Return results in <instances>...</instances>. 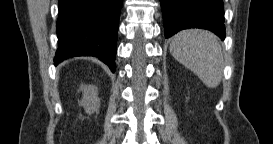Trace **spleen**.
Segmentation results:
<instances>
[{
	"instance_id": "3e777b00",
	"label": "spleen",
	"mask_w": 273,
	"mask_h": 144,
	"mask_svg": "<svg viewBox=\"0 0 273 144\" xmlns=\"http://www.w3.org/2000/svg\"><path fill=\"white\" fill-rule=\"evenodd\" d=\"M170 52L208 88L220 84L223 54L213 33L200 29L181 31L173 37Z\"/></svg>"
}]
</instances>
